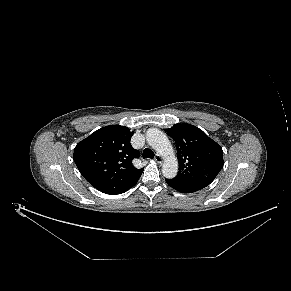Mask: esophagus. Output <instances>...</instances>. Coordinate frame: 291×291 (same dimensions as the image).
I'll list each match as a JSON object with an SVG mask.
<instances>
[{
    "label": "esophagus",
    "instance_id": "esophagus-1",
    "mask_svg": "<svg viewBox=\"0 0 291 291\" xmlns=\"http://www.w3.org/2000/svg\"><path fill=\"white\" fill-rule=\"evenodd\" d=\"M154 160H155L158 164H162V162H163V158H162L159 154H157V155L155 156Z\"/></svg>",
    "mask_w": 291,
    "mask_h": 291
}]
</instances>
